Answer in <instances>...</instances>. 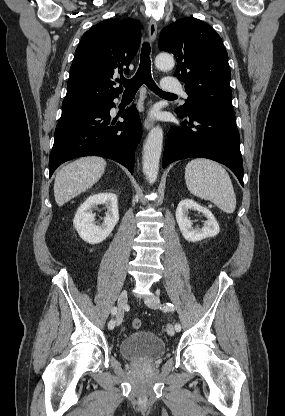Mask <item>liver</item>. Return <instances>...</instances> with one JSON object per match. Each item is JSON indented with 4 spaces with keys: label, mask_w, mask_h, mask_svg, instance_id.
Listing matches in <instances>:
<instances>
[{
    "label": "liver",
    "mask_w": 285,
    "mask_h": 416,
    "mask_svg": "<svg viewBox=\"0 0 285 416\" xmlns=\"http://www.w3.org/2000/svg\"><path fill=\"white\" fill-rule=\"evenodd\" d=\"M105 168V160L97 156L79 158L61 168L54 182V198L57 206H64L72 198L92 188L103 176Z\"/></svg>",
    "instance_id": "6515ba94"
}]
</instances>
